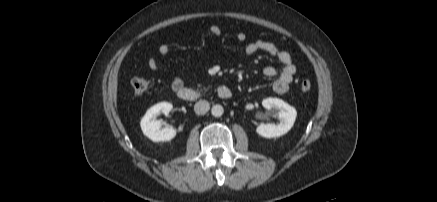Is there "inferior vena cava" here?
<instances>
[{"instance_id":"602c4592","label":"inferior vena cava","mask_w":437,"mask_h":202,"mask_svg":"<svg viewBox=\"0 0 437 202\" xmlns=\"http://www.w3.org/2000/svg\"><path fill=\"white\" fill-rule=\"evenodd\" d=\"M210 109V104L208 101H198L197 103H195L194 105V111L196 114L198 115H203L205 113H207Z\"/></svg>"}]
</instances>
